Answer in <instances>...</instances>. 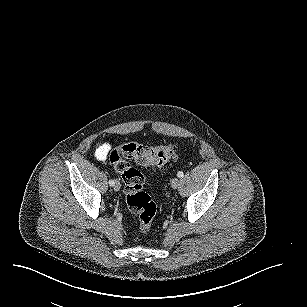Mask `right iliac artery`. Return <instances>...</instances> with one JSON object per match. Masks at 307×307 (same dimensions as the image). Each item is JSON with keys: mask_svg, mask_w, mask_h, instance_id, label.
<instances>
[{"mask_svg": "<svg viewBox=\"0 0 307 307\" xmlns=\"http://www.w3.org/2000/svg\"><path fill=\"white\" fill-rule=\"evenodd\" d=\"M109 184H110V186H114V184H115L114 180H109Z\"/></svg>", "mask_w": 307, "mask_h": 307, "instance_id": "82829eb1", "label": "right iliac artery"}]
</instances>
